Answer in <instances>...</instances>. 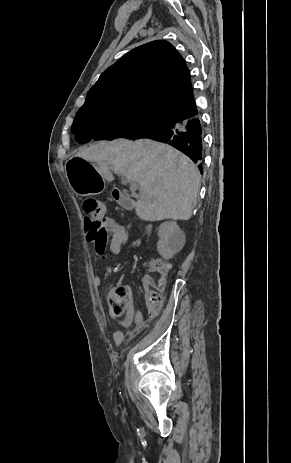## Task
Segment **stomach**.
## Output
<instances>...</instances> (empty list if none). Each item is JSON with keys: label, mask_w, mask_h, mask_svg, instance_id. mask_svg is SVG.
<instances>
[{"label": "stomach", "mask_w": 291, "mask_h": 463, "mask_svg": "<svg viewBox=\"0 0 291 463\" xmlns=\"http://www.w3.org/2000/svg\"><path fill=\"white\" fill-rule=\"evenodd\" d=\"M66 174L73 191L80 196L95 195L102 191L103 180L88 157H67Z\"/></svg>", "instance_id": "stomach-1"}]
</instances>
